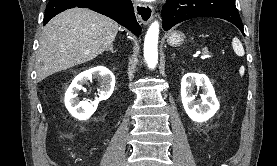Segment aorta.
<instances>
[{
    "mask_svg": "<svg viewBox=\"0 0 277 166\" xmlns=\"http://www.w3.org/2000/svg\"><path fill=\"white\" fill-rule=\"evenodd\" d=\"M158 37L159 23L154 21L150 25L144 40V58L150 69H154L158 62Z\"/></svg>",
    "mask_w": 277,
    "mask_h": 166,
    "instance_id": "1",
    "label": "aorta"
}]
</instances>
